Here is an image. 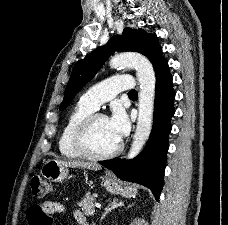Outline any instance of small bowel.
Masks as SVG:
<instances>
[{
    "label": "small bowel",
    "mask_w": 228,
    "mask_h": 225,
    "mask_svg": "<svg viewBox=\"0 0 228 225\" xmlns=\"http://www.w3.org/2000/svg\"><path fill=\"white\" fill-rule=\"evenodd\" d=\"M64 212L65 207L61 203L56 201H46L42 204V206H40L39 204H34L33 207H29L27 211V225H53L52 218H47V214L49 215ZM74 217L78 220H81L82 214L79 211H75Z\"/></svg>",
    "instance_id": "1"
}]
</instances>
